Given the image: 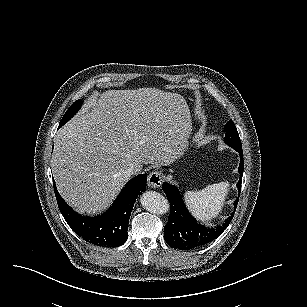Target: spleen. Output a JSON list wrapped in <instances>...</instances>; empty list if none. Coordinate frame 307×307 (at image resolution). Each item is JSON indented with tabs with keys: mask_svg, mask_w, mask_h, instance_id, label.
I'll return each mask as SVG.
<instances>
[{
	"mask_svg": "<svg viewBox=\"0 0 307 307\" xmlns=\"http://www.w3.org/2000/svg\"><path fill=\"white\" fill-rule=\"evenodd\" d=\"M228 180L213 184L201 192H185L184 204L191 217L201 223H208L218 218L223 212L230 192Z\"/></svg>",
	"mask_w": 307,
	"mask_h": 307,
	"instance_id": "spleen-1",
	"label": "spleen"
}]
</instances>
